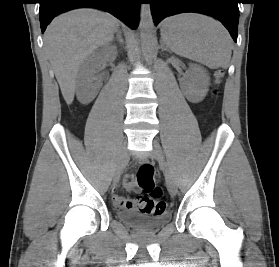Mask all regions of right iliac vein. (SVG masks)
I'll list each match as a JSON object with an SVG mask.
<instances>
[{
	"label": "right iliac vein",
	"instance_id": "right-iliac-vein-1",
	"mask_svg": "<svg viewBox=\"0 0 279 267\" xmlns=\"http://www.w3.org/2000/svg\"><path fill=\"white\" fill-rule=\"evenodd\" d=\"M128 159V150L126 147V144L121 148L119 154H118V158H117V162H116V168H115V172H114V177H113V182L114 184L118 183L120 180V176L122 174V171L126 165Z\"/></svg>",
	"mask_w": 279,
	"mask_h": 267
}]
</instances>
